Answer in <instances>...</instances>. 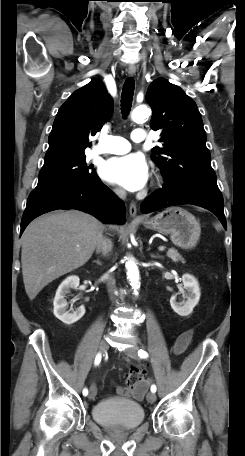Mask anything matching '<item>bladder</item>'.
Segmentation results:
<instances>
[{
	"label": "bladder",
	"instance_id": "31cf9c89",
	"mask_svg": "<svg viewBox=\"0 0 245 456\" xmlns=\"http://www.w3.org/2000/svg\"><path fill=\"white\" fill-rule=\"evenodd\" d=\"M92 418L99 425L110 429L133 430L144 421L142 406L124 398H108L92 408Z\"/></svg>",
	"mask_w": 245,
	"mask_h": 456
}]
</instances>
